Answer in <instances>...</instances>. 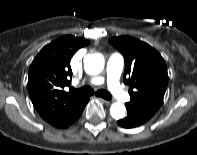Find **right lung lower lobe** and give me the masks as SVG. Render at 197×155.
<instances>
[{
    "label": "right lung lower lobe",
    "mask_w": 197,
    "mask_h": 155,
    "mask_svg": "<svg viewBox=\"0 0 197 155\" xmlns=\"http://www.w3.org/2000/svg\"><path fill=\"white\" fill-rule=\"evenodd\" d=\"M89 101V98L86 97L83 101V103L80 105V107L76 110V112L71 116V118L67 121V123L62 126L61 128H66L68 126H70L71 124H73L81 115V113L83 112L87 102Z\"/></svg>",
    "instance_id": "right-lung-lower-lobe-1"
}]
</instances>
